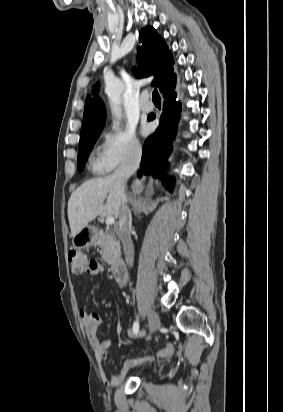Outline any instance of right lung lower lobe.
Instances as JSON below:
<instances>
[{"label": "right lung lower lobe", "mask_w": 283, "mask_h": 412, "mask_svg": "<svg viewBox=\"0 0 283 412\" xmlns=\"http://www.w3.org/2000/svg\"><path fill=\"white\" fill-rule=\"evenodd\" d=\"M174 89L175 84H170L162 91L165 100L160 124L154 134L145 141L139 176L141 174L162 176L169 165L167 159L172 150V140L176 135L181 110ZM172 184L171 181L166 180L167 187H171Z\"/></svg>", "instance_id": "right-lung-lower-lobe-1"}]
</instances>
